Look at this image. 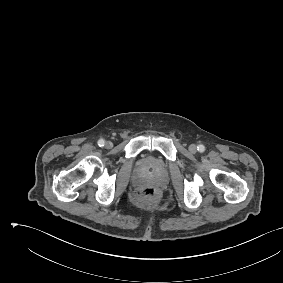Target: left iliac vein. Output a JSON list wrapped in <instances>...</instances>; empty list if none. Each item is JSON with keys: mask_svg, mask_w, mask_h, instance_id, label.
Returning <instances> with one entry per match:
<instances>
[{"mask_svg": "<svg viewBox=\"0 0 283 283\" xmlns=\"http://www.w3.org/2000/svg\"><path fill=\"white\" fill-rule=\"evenodd\" d=\"M189 151H190L191 153H196V152H197V146H196L195 144H191V145L189 146Z\"/></svg>", "mask_w": 283, "mask_h": 283, "instance_id": "4c4485c4", "label": "left iliac vein"}]
</instances>
